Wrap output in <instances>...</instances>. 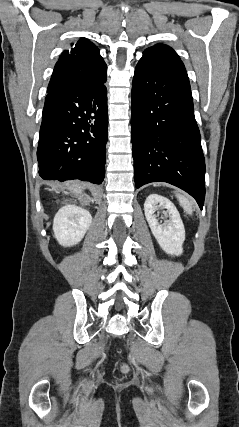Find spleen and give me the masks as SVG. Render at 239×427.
Returning <instances> with one entry per match:
<instances>
[{"instance_id":"3e777b00","label":"spleen","mask_w":239,"mask_h":427,"mask_svg":"<svg viewBox=\"0 0 239 427\" xmlns=\"http://www.w3.org/2000/svg\"><path fill=\"white\" fill-rule=\"evenodd\" d=\"M176 196L179 200L180 205L182 206V208L184 209V211L191 215L193 212V207L191 202L189 201L188 198H186L185 196H183L182 194L176 193Z\"/></svg>"}]
</instances>
